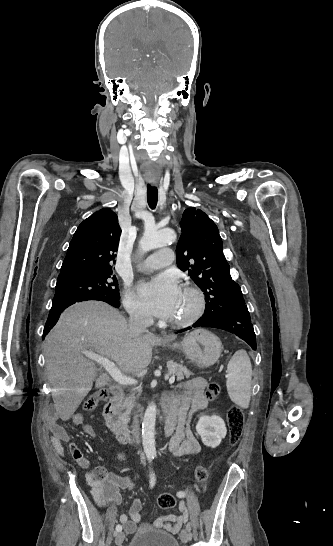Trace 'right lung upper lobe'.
<instances>
[{
	"instance_id": "cb5924a9",
	"label": "right lung upper lobe",
	"mask_w": 333,
	"mask_h": 546,
	"mask_svg": "<svg viewBox=\"0 0 333 546\" xmlns=\"http://www.w3.org/2000/svg\"><path fill=\"white\" fill-rule=\"evenodd\" d=\"M121 228L109 208L95 212L77 228L59 276L75 272L112 271Z\"/></svg>"
}]
</instances>
